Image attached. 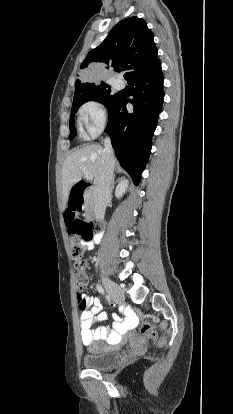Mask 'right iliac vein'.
<instances>
[{
	"instance_id": "right-iliac-vein-1",
	"label": "right iliac vein",
	"mask_w": 233,
	"mask_h": 414,
	"mask_svg": "<svg viewBox=\"0 0 233 414\" xmlns=\"http://www.w3.org/2000/svg\"><path fill=\"white\" fill-rule=\"evenodd\" d=\"M104 287L114 302L121 303L124 300L122 290L110 279L102 277Z\"/></svg>"
}]
</instances>
